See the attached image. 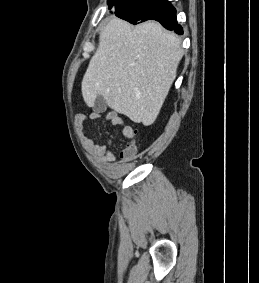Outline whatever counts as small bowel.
<instances>
[{
  "mask_svg": "<svg viewBox=\"0 0 259 283\" xmlns=\"http://www.w3.org/2000/svg\"><path fill=\"white\" fill-rule=\"evenodd\" d=\"M101 118V114L98 112H92L87 117H80L83 120H89L91 122L97 121ZM105 120L112 124L113 126H118L122 128V133L126 138H133L135 136L134 129L128 125L123 118H121L118 114L114 112H109L105 115ZM90 147L93 151L99 153L103 156V159L106 163H112L115 160V156L111 150L112 142L107 140L103 143H95L93 141L90 142ZM118 172H123L125 170L124 165H119L117 168Z\"/></svg>",
  "mask_w": 259,
  "mask_h": 283,
  "instance_id": "1",
  "label": "small bowel"
}]
</instances>
